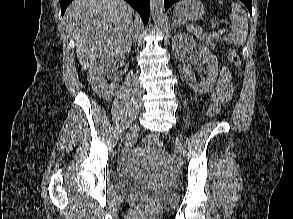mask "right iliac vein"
I'll use <instances>...</instances> for the list:
<instances>
[{"instance_id": "right-iliac-vein-1", "label": "right iliac vein", "mask_w": 293, "mask_h": 219, "mask_svg": "<svg viewBox=\"0 0 293 219\" xmlns=\"http://www.w3.org/2000/svg\"><path fill=\"white\" fill-rule=\"evenodd\" d=\"M138 128H139L138 125H134L133 128H132V131L135 132V131L138 130Z\"/></svg>"}]
</instances>
